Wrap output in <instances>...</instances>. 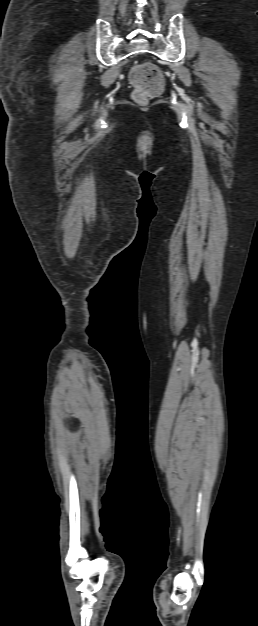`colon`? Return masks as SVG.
I'll use <instances>...</instances> for the list:
<instances>
[{
	"label": "colon",
	"instance_id": "5ec220e1",
	"mask_svg": "<svg viewBox=\"0 0 258 626\" xmlns=\"http://www.w3.org/2000/svg\"><path fill=\"white\" fill-rule=\"evenodd\" d=\"M130 80L135 88L133 99L138 104H146L159 95L164 86L160 70L150 63L136 65L131 71Z\"/></svg>",
	"mask_w": 258,
	"mask_h": 626
}]
</instances>
